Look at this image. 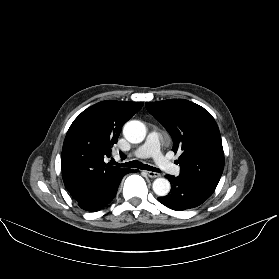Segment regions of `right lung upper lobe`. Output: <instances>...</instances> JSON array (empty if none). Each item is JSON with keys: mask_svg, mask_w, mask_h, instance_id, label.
Listing matches in <instances>:
<instances>
[{"mask_svg": "<svg viewBox=\"0 0 279 279\" xmlns=\"http://www.w3.org/2000/svg\"><path fill=\"white\" fill-rule=\"evenodd\" d=\"M143 102L102 101L84 110L71 124L62 148V177L78 202L102 192L130 169L111 166L104 158L118 140L122 126Z\"/></svg>", "mask_w": 279, "mask_h": 279, "instance_id": "right-lung-upper-lobe-1", "label": "right lung upper lobe"}]
</instances>
